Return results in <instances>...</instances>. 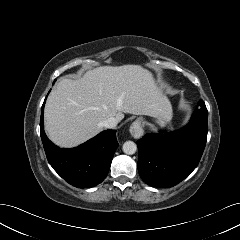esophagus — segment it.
I'll list each match as a JSON object with an SVG mask.
<instances>
[{"label":"esophagus","mask_w":240,"mask_h":240,"mask_svg":"<svg viewBox=\"0 0 240 240\" xmlns=\"http://www.w3.org/2000/svg\"><path fill=\"white\" fill-rule=\"evenodd\" d=\"M131 135L134 137V138H140L143 136L144 134V130L142 128V122L140 119H137L135 120L131 126H130V129H129Z\"/></svg>","instance_id":"obj_1"}]
</instances>
